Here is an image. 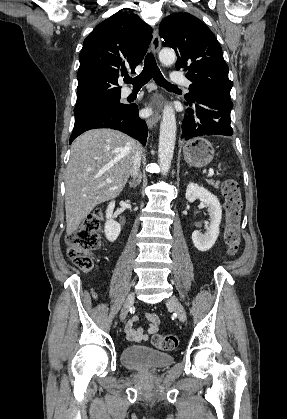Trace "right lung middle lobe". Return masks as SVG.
<instances>
[{"mask_svg":"<svg viewBox=\"0 0 287 419\" xmlns=\"http://www.w3.org/2000/svg\"><path fill=\"white\" fill-rule=\"evenodd\" d=\"M120 95H116L113 97H108L105 99H101L90 103L85 106L75 107V121L80 120L81 118L92 114L94 112L102 111V110H111V109H122L126 108L127 105L121 104L119 102Z\"/></svg>","mask_w":287,"mask_h":419,"instance_id":"right-lung-middle-lobe-1","label":"right lung middle lobe"}]
</instances>
